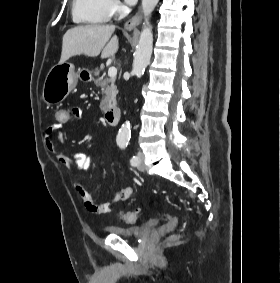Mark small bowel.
I'll list each match as a JSON object with an SVG mask.
<instances>
[{
  "label": "small bowel",
  "mask_w": 280,
  "mask_h": 283,
  "mask_svg": "<svg viewBox=\"0 0 280 283\" xmlns=\"http://www.w3.org/2000/svg\"><path fill=\"white\" fill-rule=\"evenodd\" d=\"M69 114H73L75 121H82L83 113L79 108L69 109ZM63 125H58L57 122L48 130L46 136V146L48 150L54 155L60 165L67 170L86 171L95 161V157L86 155L80 152L65 153L59 148V144L63 141V134L61 128ZM54 135L55 138H52ZM74 188L83 202L84 208L95 215H105L110 213L117 202L127 200L131 197L133 189L127 186L115 193L113 197L105 203L97 204L94 202L91 194L80 183L75 182Z\"/></svg>",
  "instance_id": "obj_1"
}]
</instances>
